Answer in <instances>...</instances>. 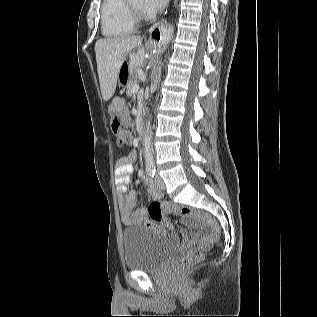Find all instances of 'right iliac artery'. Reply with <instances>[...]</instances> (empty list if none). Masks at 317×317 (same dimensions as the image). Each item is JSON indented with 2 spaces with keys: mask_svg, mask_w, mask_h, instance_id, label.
<instances>
[{
  "mask_svg": "<svg viewBox=\"0 0 317 317\" xmlns=\"http://www.w3.org/2000/svg\"><path fill=\"white\" fill-rule=\"evenodd\" d=\"M146 173L149 177L153 178L155 176L156 173V169L155 167H150L146 170Z\"/></svg>",
  "mask_w": 317,
  "mask_h": 317,
  "instance_id": "right-iliac-artery-1",
  "label": "right iliac artery"
}]
</instances>
